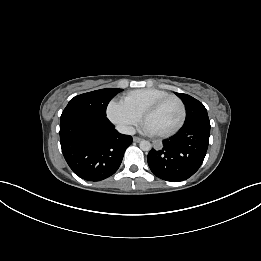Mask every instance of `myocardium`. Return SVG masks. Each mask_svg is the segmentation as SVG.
Returning a JSON list of instances; mask_svg holds the SVG:
<instances>
[{
	"mask_svg": "<svg viewBox=\"0 0 261 261\" xmlns=\"http://www.w3.org/2000/svg\"><path fill=\"white\" fill-rule=\"evenodd\" d=\"M169 100H175L179 104L180 110H181V116H180V119H179L178 123L176 124V126L174 128H172L171 130L166 131V132L153 133L154 135H156L158 137L172 136L181 129V127L183 126L185 119H186V107H185L183 100L176 95L169 94V95L162 97V98L156 100L155 102H153L151 105H149L144 110V112L142 114V121H143V123H145V121H146V119L148 118L149 115H151L161 105H163L165 102H167Z\"/></svg>",
	"mask_w": 261,
	"mask_h": 261,
	"instance_id": "f54148a6",
	"label": "myocardium"
}]
</instances>
